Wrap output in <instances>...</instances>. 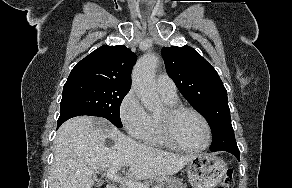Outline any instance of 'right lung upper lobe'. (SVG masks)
<instances>
[{"instance_id":"cb5924a9","label":"right lung upper lobe","mask_w":292,"mask_h":188,"mask_svg":"<svg viewBox=\"0 0 292 188\" xmlns=\"http://www.w3.org/2000/svg\"><path fill=\"white\" fill-rule=\"evenodd\" d=\"M136 59V54L124 45H103L78 62L67 81L91 80L131 88Z\"/></svg>"}]
</instances>
